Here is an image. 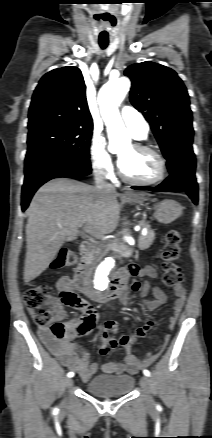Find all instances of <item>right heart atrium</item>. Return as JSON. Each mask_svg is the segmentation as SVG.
<instances>
[{
	"mask_svg": "<svg viewBox=\"0 0 212 438\" xmlns=\"http://www.w3.org/2000/svg\"><path fill=\"white\" fill-rule=\"evenodd\" d=\"M89 159L93 172L100 178H111L114 174L113 158L107 150L103 137L93 136L89 143Z\"/></svg>",
	"mask_w": 212,
	"mask_h": 438,
	"instance_id": "right-heart-atrium-1",
	"label": "right heart atrium"
}]
</instances>
